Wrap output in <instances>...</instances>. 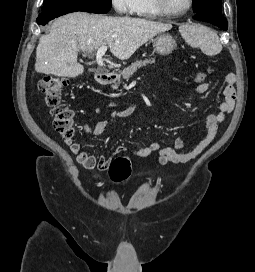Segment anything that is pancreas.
Instances as JSON below:
<instances>
[{
    "instance_id": "pancreas-1",
    "label": "pancreas",
    "mask_w": 255,
    "mask_h": 272,
    "mask_svg": "<svg viewBox=\"0 0 255 272\" xmlns=\"http://www.w3.org/2000/svg\"><path fill=\"white\" fill-rule=\"evenodd\" d=\"M155 63V59H145V60H139L136 61L134 63H132L129 67L125 68L122 72L121 75L123 77L124 80L128 81L129 78L141 67L146 66L147 64H154ZM113 89H117L118 85L115 84L112 86Z\"/></svg>"
}]
</instances>
